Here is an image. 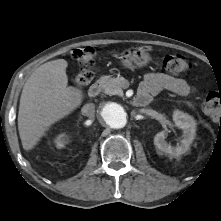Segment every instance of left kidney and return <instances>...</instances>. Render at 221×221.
I'll return each instance as SVG.
<instances>
[{
    "label": "left kidney",
    "mask_w": 221,
    "mask_h": 221,
    "mask_svg": "<svg viewBox=\"0 0 221 221\" xmlns=\"http://www.w3.org/2000/svg\"><path fill=\"white\" fill-rule=\"evenodd\" d=\"M173 121L175 126L183 130V139L176 147L171 146L165 140L166 133L161 131L154 137V145L164 153L172 156H180L189 150L190 144L193 142L196 135V122L192 116L180 110H175L173 113Z\"/></svg>",
    "instance_id": "5707ae66"
}]
</instances>
